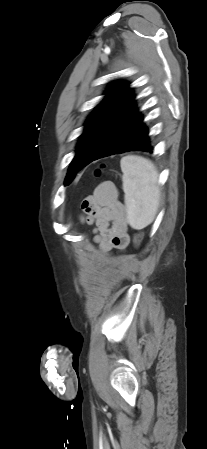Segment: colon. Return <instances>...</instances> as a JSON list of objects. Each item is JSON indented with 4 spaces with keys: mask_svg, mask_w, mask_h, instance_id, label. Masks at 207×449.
I'll return each instance as SVG.
<instances>
[{
    "mask_svg": "<svg viewBox=\"0 0 207 449\" xmlns=\"http://www.w3.org/2000/svg\"><path fill=\"white\" fill-rule=\"evenodd\" d=\"M104 172H105V165L102 164L96 169L95 174H96V176H101ZM142 239H143V233L137 232L133 238L134 245L136 247H138L141 244Z\"/></svg>",
    "mask_w": 207,
    "mask_h": 449,
    "instance_id": "5ec220e1",
    "label": "colon"
}]
</instances>
